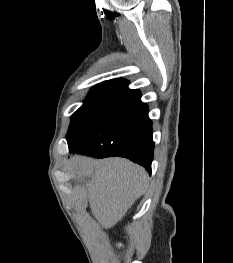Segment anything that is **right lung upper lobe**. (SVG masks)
I'll list each match as a JSON object with an SVG mask.
<instances>
[{
	"label": "right lung upper lobe",
	"instance_id": "right-lung-upper-lobe-1",
	"mask_svg": "<svg viewBox=\"0 0 233 263\" xmlns=\"http://www.w3.org/2000/svg\"><path fill=\"white\" fill-rule=\"evenodd\" d=\"M129 82L125 79H112L95 85L89 95H105L119 97L130 91Z\"/></svg>",
	"mask_w": 233,
	"mask_h": 263
}]
</instances>
